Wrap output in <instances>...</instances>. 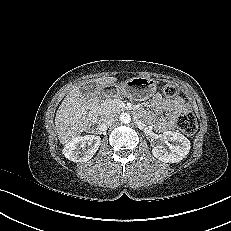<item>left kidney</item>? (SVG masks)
<instances>
[{"label": "left kidney", "instance_id": "1", "mask_svg": "<svg viewBox=\"0 0 231 231\" xmlns=\"http://www.w3.org/2000/svg\"><path fill=\"white\" fill-rule=\"evenodd\" d=\"M166 146L156 145L152 149L154 157L165 163L180 162L190 150V141L179 132L165 131L162 135ZM172 142L170 144L168 142Z\"/></svg>", "mask_w": 231, "mask_h": 231}]
</instances>
